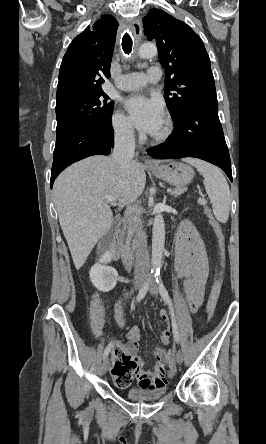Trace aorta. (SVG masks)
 <instances>
[{"instance_id":"762f6f07","label":"aorta","mask_w":266,"mask_h":444,"mask_svg":"<svg viewBox=\"0 0 266 444\" xmlns=\"http://www.w3.org/2000/svg\"><path fill=\"white\" fill-rule=\"evenodd\" d=\"M157 54V47L152 43H145L140 46L138 55L140 58H152ZM165 244V223L160 212L156 213L152 231V270L159 271L162 265V256Z\"/></svg>"}]
</instances>
